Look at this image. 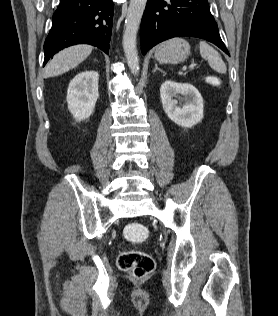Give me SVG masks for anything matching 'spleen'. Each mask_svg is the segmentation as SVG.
<instances>
[{"mask_svg": "<svg viewBox=\"0 0 278 316\" xmlns=\"http://www.w3.org/2000/svg\"><path fill=\"white\" fill-rule=\"evenodd\" d=\"M199 50L201 57L208 60L210 67L219 73H226V65L220 54L213 47L208 45L206 42H200Z\"/></svg>", "mask_w": 278, "mask_h": 316, "instance_id": "obj_1", "label": "spleen"}]
</instances>
